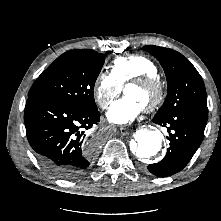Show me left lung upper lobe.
Masks as SVG:
<instances>
[{
  "label": "left lung upper lobe",
  "instance_id": "1",
  "mask_svg": "<svg viewBox=\"0 0 221 221\" xmlns=\"http://www.w3.org/2000/svg\"><path fill=\"white\" fill-rule=\"evenodd\" d=\"M143 50L156 57L167 78V97L155 117H164L186 109L208 113L204 82L189 60L169 48L147 45Z\"/></svg>",
  "mask_w": 221,
  "mask_h": 221
}]
</instances>
